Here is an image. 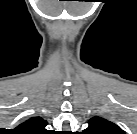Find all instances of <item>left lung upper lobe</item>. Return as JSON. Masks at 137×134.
Here are the masks:
<instances>
[{"instance_id":"5c2ea615","label":"left lung upper lobe","mask_w":137,"mask_h":134,"mask_svg":"<svg viewBox=\"0 0 137 134\" xmlns=\"http://www.w3.org/2000/svg\"><path fill=\"white\" fill-rule=\"evenodd\" d=\"M88 123V128L83 131L84 134H124L118 125L102 117L95 116Z\"/></svg>"}]
</instances>
